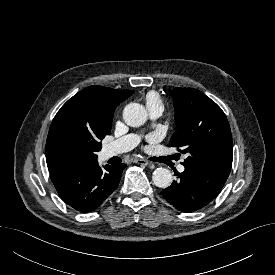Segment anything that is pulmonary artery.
Here are the masks:
<instances>
[{
  "label": "pulmonary artery",
  "mask_w": 275,
  "mask_h": 275,
  "mask_svg": "<svg viewBox=\"0 0 275 275\" xmlns=\"http://www.w3.org/2000/svg\"><path fill=\"white\" fill-rule=\"evenodd\" d=\"M149 115L152 118H158L163 112L162 104H149L147 105ZM140 142V137L135 134H130L119 138L112 143L108 144L104 149V155L106 157H113L115 155L127 152L136 147ZM185 167L183 165L178 166V171L183 172Z\"/></svg>",
  "instance_id": "e3ab8cb5"
}]
</instances>
